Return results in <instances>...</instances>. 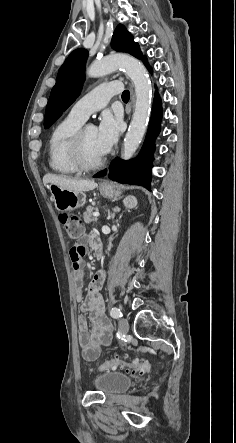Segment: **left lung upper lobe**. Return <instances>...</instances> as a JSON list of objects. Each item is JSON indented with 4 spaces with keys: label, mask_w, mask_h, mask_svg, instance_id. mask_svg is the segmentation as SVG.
Segmentation results:
<instances>
[{
    "label": "left lung upper lobe",
    "mask_w": 236,
    "mask_h": 443,
    "mask_svg": "<svg viewBox=\"0 0 236 443\" xmlns=\"http://www.w3.org/2000/svg\"><path fill=\"white\" fill-rule=\"evenodd\" d=\"M111 46L117 51L127 52L138 59H143L138 43L127 29L119 24L113 34ZM88 51L79 48L71 52L58 71L56 84L49 97L44 128H49L78 97L85 80V62Z\"/></svg>",
    "instance_id": "obj_1"
}]
</instances>
